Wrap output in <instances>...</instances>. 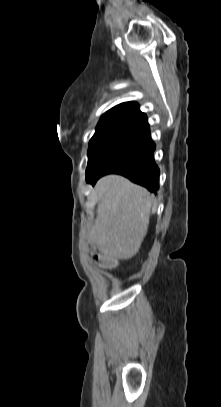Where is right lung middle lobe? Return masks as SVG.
<instances>
[{
	"instance_id": "right-lung-middle-lobe-1",
	"label": "right lung middle lobe",
	"mask_w": 221,
	"mask_h": 407,
	"mask_svg": "<svg viewBox=\"0 0 221 407\" xmlns=\"http://www.w3.org/2000/svg\"><path fill=\"white\" fill-rule=\"evenodd\" d=\"M138 130L139 128L136 127H116L96 131L89 142L86 180L94 176L120 146Z\"/></svg>"
}]
</instances>
